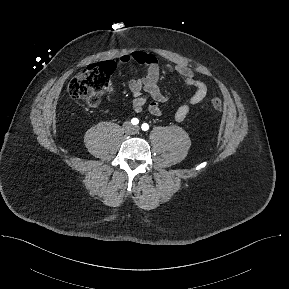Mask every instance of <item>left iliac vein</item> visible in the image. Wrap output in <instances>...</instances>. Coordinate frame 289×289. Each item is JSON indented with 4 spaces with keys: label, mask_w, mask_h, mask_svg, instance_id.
<instances>
[{
    "label": "left iliac vein",
    "mask_w": 289,
    "mask_h": 289,
    "mask_svg": "<svg viewBox=\"0 0 289 289\" xmlns=\"http://www.w3.org/2000/svg\"><path fill=\"white\" fill-rule=\"evenodd\" d=\"M139 129V127H135V130H138Z\"/></svg>",
    "instance_id": "1"
}]
</instances>
